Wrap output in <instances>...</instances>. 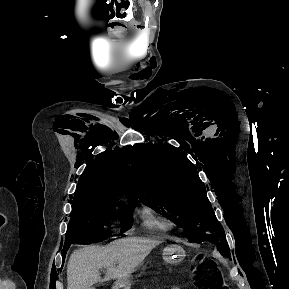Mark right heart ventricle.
Masks as SVG:
<instances>
[{
	"mask_svg": "<svg viewBox=\"0 0 289 289\" xmlns=\"http://www.w3.org/2000/svg\"><path fill=\"white\" fill-rule=\"evenodd\" d=\"M138 220L142 229L152 232H169L174 228V223L168 218L153 210L143 207L138 212Z\"/></svg>",
	"mask_w": 289,
	"mask_h": 289,
	"instance_id": "1",
	"label": "right heart ventricle"
}]
</instances>
